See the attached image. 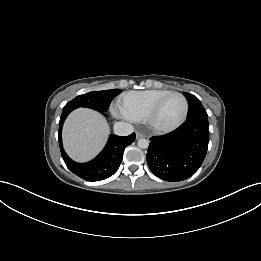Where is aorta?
I'll list each match as a JSON object with an SVG mask.
<instances>
[{
	"instance_id": "aorta-1",
	"label": "aorta",
	"mask_w": 261,
	"mask_h": 261,
	"mask_svg": "<svg viewBox=\"0 0 261 261\" xmlns=\"http://www.w3.org/2000/svg\"><path fill=\"white\" fill-rule=\"evenodd\" d=\"M149 146V141L147 139H139L138 140V147L141 149H146Z\"/></svg>"
}]
</instances>
